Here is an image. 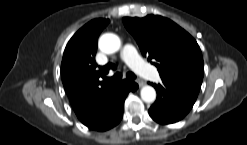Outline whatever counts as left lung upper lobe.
Wrapping results in <instances>:
<instances>
[{
    "label": "left lung upper lobe",
    "instance_id": "left-lung-upper-lobe-1",
    "mask_svg": "<svg viewBox=\"0 0 247 145\" xmlns=\"http://www.w3.org/2000/svg\"><path fill=\"white\" fill-rule=\"evenodd\" d=\"M148 61L153 60L162 80L199 93L204 73L203 57L195 39L173 21L157 15L123 18Z\"/></svg>",
    "mask_w": 247,
    "mask_h": 145
}]
</instances>
